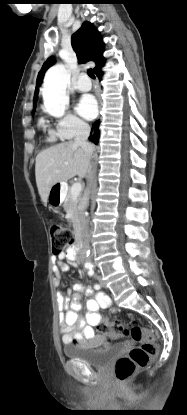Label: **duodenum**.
I'll return each instance as SVG.
<instances>
[{
	"instance_id": "1",
	"label": "duodenum",
	"mask_w": 187,
	"mask_h": 415,
	"mask_svg": "<svg viewBox=\"0 0 187 415\" xmlns=\"http://www.w3.org/2000/svg\"><path fill=\"white\" fill-rule=\"evenodd\" d=\"M82 237H81V230L78 226L75 228V247L72 246L70 249V255H72L73 251H75L81 244Z\"/></svg>"
}]
</instances>
